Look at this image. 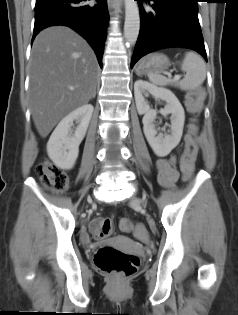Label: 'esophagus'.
Instances as JSON below:
<instances>
[{"label":"esophagus","mask_w":238,"mask_h":315,"mask_svg":"<svg viewBox=\"0 0 238 315\" xmlns=\"http://www.w3.org/2000/svg\"><path fill=\"white\" fill-rule=\"evenodd\" d=\"M108 5L112 9V7L117 6L119 9L122 5V0H108Z\"/></svg>","instance_id":"34e87169"}]
</instances>
